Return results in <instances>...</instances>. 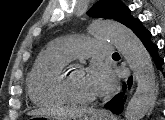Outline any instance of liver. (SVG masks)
<instances>
[{"label":"liver","instance_id":"1","mask_svg":"<svg viewBox=\"0 0 165 120\" xmlns=\"http://www.w3.org/2000/svg\"><path fill=\"white\" fill-rule=\"evenodd\" d=\"M88 111H91V110L73 109V108H67V107H57V108L55 107V108L49 109L48 113L58 115L61 118L70 120V119H76L77 117L84 115ZM46 112H47L46 109H38V110L31 111L29 115H40Z\"/></svg>","mask_w":165,"mask_h":120}]
</instances>
